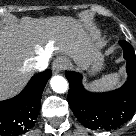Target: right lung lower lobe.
Masks as SVG:
<instances>
[{
	"label": "right lung lower lobe",
	"instance_id": "obj_1",
	"mask_svg": "<svg viewBox=\"0 0 136 136\" xmlns=\"http://www.w3.org/2000/svg\"><path fill=\"white\" fill-rule=\"evenodd\" d=\"M51 74V70H46L35 75L19 95L0 101V136H17L34 126L42 92Z\"/></svg>",
	"mask_w": 136,
	"mask_h": 136
}]
</instances>
